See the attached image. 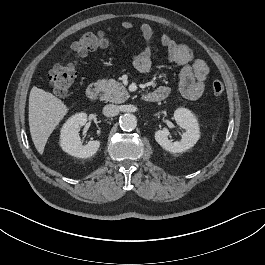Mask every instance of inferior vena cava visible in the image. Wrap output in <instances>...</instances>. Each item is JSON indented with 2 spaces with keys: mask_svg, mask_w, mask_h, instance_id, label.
Returning <instances> with one entry per match:
<instances>
[{
  "mask_svg": "<svg viewBox=\"0 0 265 265\" xmlns=\"http://www.w3.org/2000/svg\"><path fill=\"white\" fill-rule=\"evenodd\" d=\"M119 107L117 105L108 104L103 108V114L107 117H113L118 115Z\"/></svg>",
  "mask_w": 265,
  "mask_h": 265,
  "instance_id": "602c4592",
  "label": "inferior vena cava"
}]
</instances>
